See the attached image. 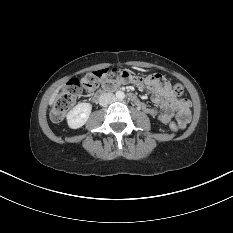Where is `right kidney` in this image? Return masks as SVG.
Returning a JSON list of instances; mask_svg holds the SVG:
<instances>
[{
  "mask_svg": "<svg viewBox=\"0 0 233 233\" xmlns=\"http://www.w3.org/2000/svg\"><path fill=\"white\" fill-rule=\"evenodd\" d=\"M92 110L90 103H79L67 114V123L70 128L78 129L88 120Z\"/></svg>",
  "mask_w": 233,
  "mask_h": 233,
  "instance_id": "1",
  "label": "right kidney"
}]
</instances>
